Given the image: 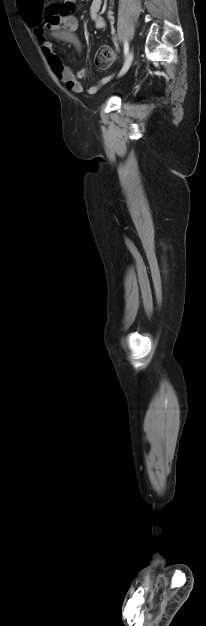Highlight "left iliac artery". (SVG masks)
Returning <instances> with one entry per match:
<instances>
[{"label":"left iliac artery","instance_id":"44dca946","mask_svg":"<svg viewBox=\"0 0 206 626\" xmlns=\"http://www.w3.org/2000/svg\"><path fill=\"white\" fill-rule=\"evenodd\" d=\"M128 51H129V45H128V42L125 41L124 42V55L125 56L128 54Z\"/></svg>","mask_w":206,"mask_h":626}]
</instances>
